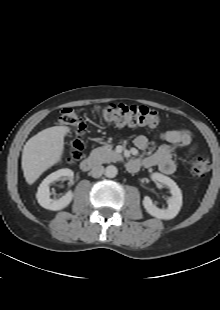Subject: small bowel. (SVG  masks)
Returning <instances> with one entry per match:
<instances>
[{
	"label": "small bowel",
	"instance_id": "1",
	"mask_svg": "<svg viewBox=\"0 0 220 310\" xmlns=\"http://www.w3.org/2000/svg\"><path fill=\"white\" fill-rule=\"evenodd\" d=\"M158 138L163 141V144L153 154L141 158V166L158 167L162 173L172 174L176 169L172 158V146L193 150L195 146L193 135L186 129H174L159 134ZM134 143L141 151H145L149 147V140L145 135H138Z\"/></svg>",
	"mask_w": 220,
	"mask_h": 310
}]
</instances>
